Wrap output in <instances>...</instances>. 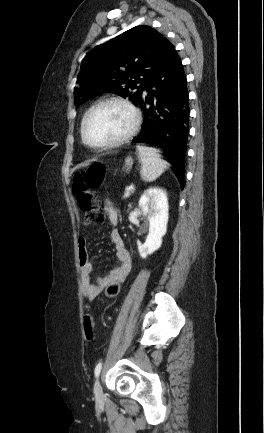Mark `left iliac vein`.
<instances>
[{"label":"left iliac vein","instance_id":"1","mask_svg":"<svg viewBox=\"0 0 264 433\" xmlns=\"http://www.w3.org/2000/svg\"><path fill=\"white\" fill-rule=\"evenodd\" d=\"M94 395L97 402L103 401V392H102L101 382L99 379L96 381L94 386Z\"/></svg>","mask_w":264,"mask_h":433}]
</instances>
